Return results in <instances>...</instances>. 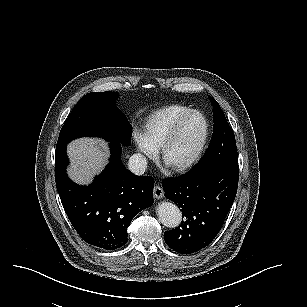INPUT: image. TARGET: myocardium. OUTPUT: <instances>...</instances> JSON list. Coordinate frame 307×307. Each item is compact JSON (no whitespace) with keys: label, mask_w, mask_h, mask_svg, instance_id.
Wrapping results in <instances>:
<instances>
[{"label":"myocardium","mask_w":307,"mask_h":307,"mask_svg":"<svg viewBox=\"0 0 307 307\" xmlns=\"http://www.w3.org/2000/svg\"><path fill=\"white\" fill-rule=\"evenodd\" d=\"M193 116L199 120V122L195 124L194 131L196 133H199L201 131V137L196 151L189 159L185 161H175L170 159V157L166 155L167 150L169 148L168 144L170 143V141L174 140L175 133L177 132L179 126L184 122V120H187L188 118H191ZM203 117L204 114L201 111V109L197 107L196 108L191 107L188 110H186V112L183 113V115L180 116V118L176 119L172 127L168 129L167 131L168 133L165 134V136L163 137L162 142L158 144V149L155 152V160L161 168L167 170H183L190 167L195 162V160L202 152L207 138V125L205 123L206 120Z\"/></svg>","instance_id":"f54148a6"}]
</instances>
